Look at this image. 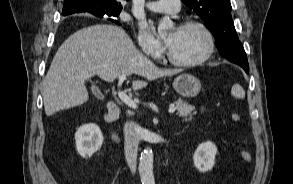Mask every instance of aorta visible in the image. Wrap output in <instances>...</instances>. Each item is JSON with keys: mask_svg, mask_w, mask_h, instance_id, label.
<instances>
[{"mask_svg": "<svg viewBox=\"0 0 293 184\" xmlns=\"http://www.w3.org/2000/svg\"><path fill=\"white\" fill-rule=\"evenodd\" d=\"M173 22L168 18H162L158 25V30L164 31L172 28ZM139 173L142 184H155L153 175V151L150 148H146L140 157Z\"/></svg>", "mask_w": 293, "mask_h": 184, "instance_id": "obj_1", "label": "aorta"}]
</instances>
